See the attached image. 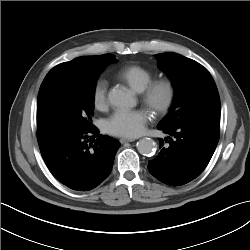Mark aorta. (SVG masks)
<instances>
[{
	"label": "aorta",
	"instance_id": "aorta-1",
	"mask_svg": "<svg viewBox=\"0 0 250 250\" xmlns=\"http://www.w3.org/2000/svg\"><path fill=\"white\" fill-rule=\"evenodd\" d=\"M109 102L120 109L131 107L134 97L121 88H113L108 93ZM138 152L145 156H152L156 151V143L151 138H143L137 142Z\"/></svg>",
	"mask_w": 250,
	"mask_h": 250
}]
</instances>
